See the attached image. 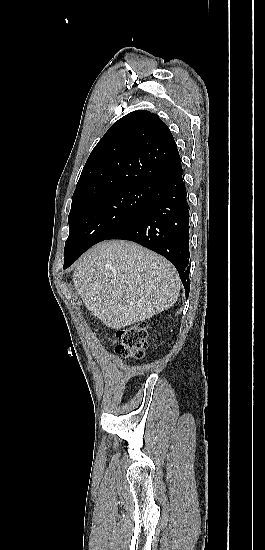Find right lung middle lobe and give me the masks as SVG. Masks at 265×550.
<instances>
[{"instance_id": "dd1d6c3e", "label": "right lung middle lobe", "mask_w": 265, "mask_h": 550, "mask_svg": "<svg viewBox=\"0 0 265 550\" xmlns=\"http://www.w3.org/2000/svg\"><path fill=\"white\" fill-rule=\"evenodd\" d=\"M155 189L156 185H137L72 203L64 267L134 221L148 205Z\"/></svg>"}]
</instances>
